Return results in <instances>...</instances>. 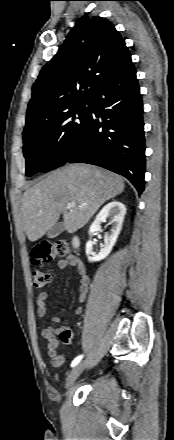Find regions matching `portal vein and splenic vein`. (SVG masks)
I'll return each instance as SVG.
<instances>
[{
    "instance_id": "1",
    "label": "portal vein and splenic vein",
    "mask_w": 174,
    "mask_h": 440,
    "mask_svg": "<svg viewBox=\"0 0 174 440\" xmlns=\"http://www.w3.org/2000/svg\"><path fill=\"white\" fill-rule=\"evenodd\" d=\"M76 206V202H74V201H71L70 203H69V207H75ZM85 206V204H81L80 205V207H84Z\"/></svg>"
}]
</instances>
